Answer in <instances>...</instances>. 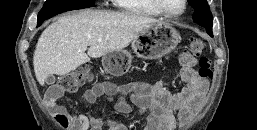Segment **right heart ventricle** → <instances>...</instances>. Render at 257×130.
Here are the masks:
<instances>
[{
	"label": "right heart ventricle",
	"mask_w": 257,
	"mask_h": 130,
	"mask_svg": "<svg viewBox=\"0 0 257 130\" xmlns=\"http://www.w3.org/2000/svg\"><path fill=\"white\" fill-rule=\"evenodd\" d=\"M122 11L139 16H160L162 13L151 0H114Z\"/></svg>",
	"instance_id": "right-heart-ventricle-1"
}]
</instances>
